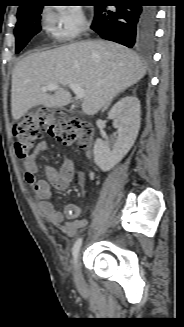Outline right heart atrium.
<instances>
[{"mask_svg":"<svg viewBox=\"0 0 184 327\" xmlns=\"http://www.w3.org/2000/svg\"><path fill=\"white\" fill-rule=\"evenodd\" d=\"M45 26L52 37L61 42H70L89 28V22L78 5L58 7L45 15Z\"/></svg>","mask_w":184,"mask_h":327,"instance_id":"right-heart-atrium-1","label":"right heart atrium"}]
</instances>
